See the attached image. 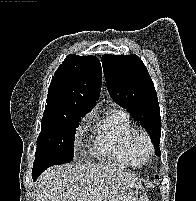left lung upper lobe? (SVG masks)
Listing matches in <instances>:
<instances>
[{
	"label": "left lung upper lobe",
	"instance_id": "left-lung-upper-lobe-1",
	"mask_svg": "<svg viewBox=\"0 0 196 201\" xmlns=\"http://www.w3.org/2000/svg\"><path fill=\"white\" fill-rule=\"evenodd\" d=\"M102 66L112 99L126 108L151 136L155 154L161 155V117L157 93L142 60L137 55H103Z\"/></svg>",
	"mask_w": 196,
	"mask_h": 201
}]
</instances>
